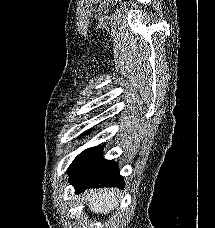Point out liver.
<instances>
[{"label":"liver","mask_w":215,"mask_h":228,"mask_svg":"<svg viewBox=\"0 0 215 228\" xmlns=\"http://www.w3.org/2000/svg\"><path fill=\"white\" fill-rule=\"evenodd\" d=\"M119 192L117 188H104V190H89L84 192L83 196L86 200L90 212L93 214H109L115 210L119 202Z\"/></svg>","instance_id":"6515ba94"}]
</instances>
